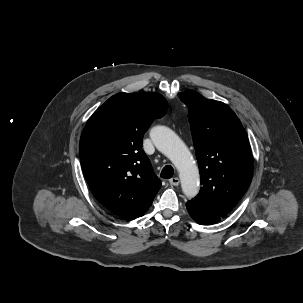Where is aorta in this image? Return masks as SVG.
<instances>
[{
    "instance_id": "762f6f07",
    "label": "aorta",
    "mask_w": 303,
    "mask_h": 303,
    "mask_svg": "<svg viewBox=\"0 0 303 303\" xmlns=\"http://www.w3.org/2000/svg\"><path fill=\"white\" fill-rule=\"evenodd\" d=\"M150 137L156 148L178 169L185 196L195 197L199 192V171L187 146L174 131L166 126L153 127Z\"/></svg>"
}]
</instances>
